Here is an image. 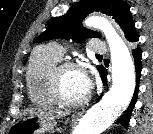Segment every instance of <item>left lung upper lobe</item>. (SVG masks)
Returning <instances> with one entry per match:
<instances>
[{
  "label": "left lung upper lobe",
  "instance_id": "obj_1",
  "mask_svg": "<svg viewBox=\"0 0 153 134\" xmlns=\"http://www.w3.org/2000/svg\"><path fill=\"white\" fill-rule=\"evenodd\" d=\"M93 11H100L112 16L120 25L128 41H138L139 36L127 3L121 0H81L70 8L65 15L54 18L35 42L66 38L81 43L87 37H100L97 32L87 30L81 24L84 17ZM102 68L101 65L97 66L99 72Z\"/></svg>",
  "mask_w": 153,
  "mask_h": 134
}]
</instances>
